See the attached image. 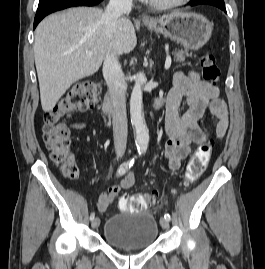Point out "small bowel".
<instances>
[{"label":"small bowel","instance_id":"c3829d8e","mask_svg":"<svg viewBox=\"0 0 265 269\" xmlns=\"http://www.w3.org/2000/svg\"><path fill=\"white\" fill-rule=\"evenodd\" d=\"M182 98L185 99L186 110L181 112ZM166 104L165 130L168 140L163 154L168 161L169 168L178 170L183 160L191 153L192 145L203 141L204 134L198 126V120L206 110L217 119L216 135L222 138L227 130V107L224 100L219 98L216 86L202 80L198 73L188 74L178 72L173 79V86L164 97ZM81 128V126H76ZM135 177L128 173L121 181L102 192L97 201L100 212H105L122 190L133 187Z\"/></svg>","mask_w":265,"mask_h":269}]
</instances>
